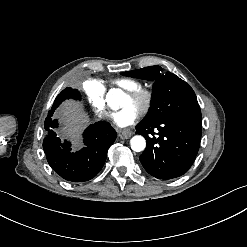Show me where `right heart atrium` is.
<instances>
[{
    "label": "right heart atrium",
    "mask_w": 247,
    "mask_h": 247,
    "mask_svg": "<svg viewBox=\"0 0 247 247\" xmlns=\"http://www.w3.org/2000/svg\"><path fill=\"white\" fill-rule=\"evenodd\" d=\"M82 90L91 107L94 109L100 108L101 112L104 113L103 106L106 103L105 85L96 78H89L84 81Z\"/></svg>",
    "instance_id": "d8ad5b80"
}]
</instances>
